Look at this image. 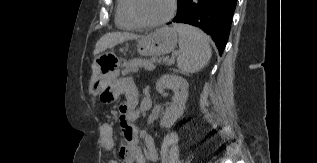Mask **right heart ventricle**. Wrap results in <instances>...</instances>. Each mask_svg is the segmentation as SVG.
<instances>
[{
  "instance_id": "1",
  "label": "right heart ventricle",
  "mask_w": 317,
  "mask_h": 163,
  "mask_svg": "<svg viewBox=\"0 0 317 163\" xmlns=\"http://www.w3.org/2000/svg\"><path fill=\"white\" fill-rule=\"evenodd\" d=\"M128 2L129 0H117L115 22L120 29L135 30L140 26L131 17Z\"/></svg>"
}]
</instances>
